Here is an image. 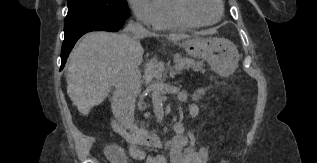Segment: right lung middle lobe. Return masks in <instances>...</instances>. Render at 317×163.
<instances>
[{"label": "right lung middle lobe", "mask_w": 317, "mask_h": 163, "mask_svg": "<svg viewBox=\"0 0 317 163\" xmlns=\"http://www.w3.org/2000/svg\"><path fill=\"white\" fill-rule=\"evenodd\" d=\"M129 16L126 0H68L64 32L102 18L127 19Z\"/></svg>", "instance_id": "obj_1"}]
</instances>
